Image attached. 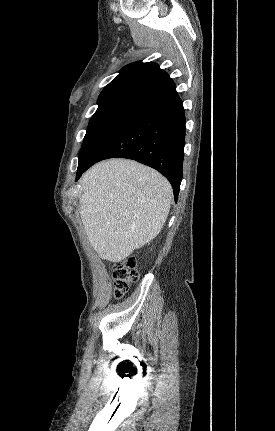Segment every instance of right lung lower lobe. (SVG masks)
Masks as SVG:
<instances>
[{
  "label": "right lung lower lobe",
  "mask_w": 275,
  "mask_h": 431,
  "mask_svg": "<svg viewBox=\"0 0 275 431\" xmlns=\"http://www.w3.org/2000/svg\"><path fill=\"white\" fill-rule=\"evenodd\" d=\"M185 112L176 89L138 109L94 158L77 170L76 180L98 161L121 157L136 160L162 173L177 201L182 180Z\"/></svg>",
  "instance_id": "right-lung-lower-lobe-1"
}]
</instances>
